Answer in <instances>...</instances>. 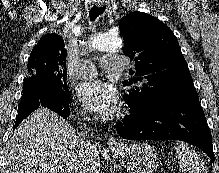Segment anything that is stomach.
I'll return each instance as SVG.
<instances>
[{"instance_id":"stomach-1","label":"stomach","mask_w":219,"mask_h":173,"mask_svg":"<svg viewBox=\"0 0 219 173\" xmlns=\"http://www.w3.org/2000/svg\"><path fill=\"white\" fill-rule=\"evenodd\" d=\"M111 149L114 158L130 173H153L158 168V153L145 142L120 143Z\"/></svg>"}]
</instances>
